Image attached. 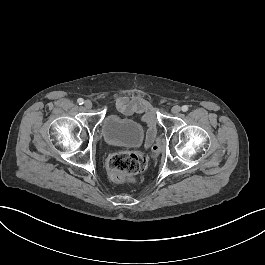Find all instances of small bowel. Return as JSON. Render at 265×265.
I'll return each mask as SVG.
<instances>
[{
    "instance_id": "small-bowel-1",
    "label": "small bowel",
    "mask_w": 265,
    "mask_h": 265,
    "mask_svg": "<svg viewBox=\"0 0 265 265\" xmlns=\"http://www.w3.org/2000/svg\"><path fill=\"white\" fill-rule=\"evenodd\" d=\"M116 107L122 113H130L135 111L140 115V118L146 122L147 133L144 142L146 148L150 147L156 135L155 122L157 120L156 110L150 108L149 104H143L139 97H134L130 100L126 96H120L117 99Z\"/></svg>"
}]
</instances>
